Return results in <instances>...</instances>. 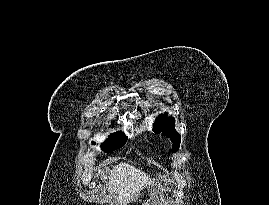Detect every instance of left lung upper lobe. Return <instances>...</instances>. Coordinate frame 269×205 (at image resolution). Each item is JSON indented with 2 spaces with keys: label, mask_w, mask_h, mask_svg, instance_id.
<instances>
[{
  "label": "left lung upper lobe",
  "mask_w": 269,
  "mask_h": 205,
  "mask_svg": "<svg viewBox=\"0 0 269 205\" xmlns=\"http://www.w3.org/2000/svg\"><path fill=\"white\" fill-rule=\"evenodd\" d=\"M154 132L162 133L169 137L173 143V151L176 152L179 149L181 136L175 130V119L173 117H167V114L160 115L153 127Z\"/></svg>",
  "instance_id": "obj_1"
}]
</instances>
